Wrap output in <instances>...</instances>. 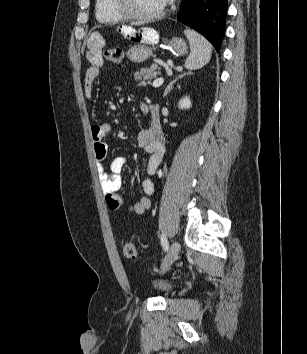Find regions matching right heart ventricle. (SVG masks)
Returning <instances> with one entry per match:
<instances>
[{"label":"right heart ventricle","instance_id":"obj_1","mask_svg":"<svg viewBox=\"0 0 307 354\" xmlns=\"http://www.w3.org/2000/svg\"><path fill=\"white\" fill-rule=\"evenodd\" d=\"M95 17L103 24H114L123 20L112 8L111 0L95 1Z\"/></svg>","mask_w":307,"mask_h":354}]
</instances>
